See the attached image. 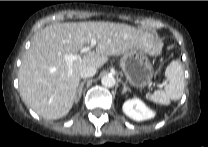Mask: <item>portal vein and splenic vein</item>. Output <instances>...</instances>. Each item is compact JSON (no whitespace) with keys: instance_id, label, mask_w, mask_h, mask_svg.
Masks as SVG:
<instances>
[{"instance_id":"obj_1","label":"portal vein and splenic vein","mask_w":208,"mask_h":147,"mask_svg":"<svg viewBox=\"0 0 208 147\" xmlns=\"http://www.w3.org/2000/svg\"><path fill=\"white\" fill-rule=\"evenodd\" d=\"M95 45H96V40L94 38H92L91 39V44L89 46H87V47L82 48L81 51H80V54H78V55L66 54L64 56V59L67 61L68 65L71 66L72 63L75 60H78V59L81 58V54L90 51L93 47H95ZM159 87H161V85Z\"/></svg>"}]
</instances>
